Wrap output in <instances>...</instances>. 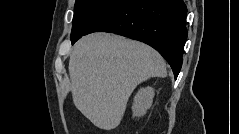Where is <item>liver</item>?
<instances>
[{
  "label": "liver",
  "mask_w": 239,
  "mask_h": 134,
  "mask_svg": "<svg viewBox=\"0 0 239 134\" xmlns=\"http://www.w3.org/2000/svg\"><path fill=\"white\" fill-rule=\"evenodd\" d=\"M76 108L96 127L120 124L134 89L151 77L167 76L162 56L150 46L121 36L94 33L80 39L69 59Z\"/></svg>",
  "instance_id": "6515ba94"
}]
</instances>
